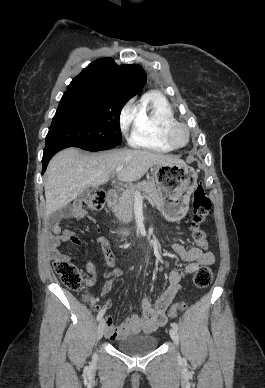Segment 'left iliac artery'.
<instances>
[{"label": "left iliac artery", "mask_w": 265, "mask_h": 388, "mask_svg": "<svg viewBox=\"0 0 265 388\" xmlns=\"http://www.w3.org/2000/svg\"><path fill=\"white\" fill-rule=\"evenodd\" d=\"M171 326H172V328H174V329H178V325H177V323H175V322H173V323H171Z\"/></svg>", "instance_id": "obj_1"}]
</instances>
